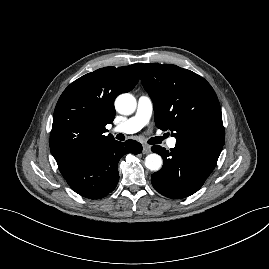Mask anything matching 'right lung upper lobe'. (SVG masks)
Here are the masks:
<instances>
[{"instance_id":"cb5924a9","label":"right lung upper lobe","mask_w":269,"mask_h":269,"mask_svg":"<svg viewBox=\"0 0 269 269\" xmlns=\"http://www.w3.org/2000/svg\"><path fill=\"white\" fill-rule=\"evenodd\" d=\"M142 63L105 67L71 83L60 96L53 115L50 151L58 165L91 148L115 140L105 136L115 117L114 100L134 88Z\"/></svg>"}]
</instances>
